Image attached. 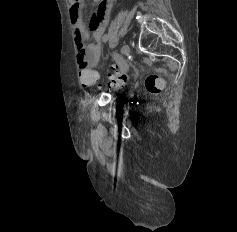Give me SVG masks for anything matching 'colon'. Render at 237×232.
Listing matches in <instances>:
<instances>
[{"instance_id": "colon-1", "label": "colon", "mask_w": 237, "mask_h": 232, "mask_svg": "<svg viewBox=\"0 0 237 232\" xmlns=\"http://www.w3.org/2000/svg\"><path fill=\"white\" fill-rule=\"evenodd\" d=\"M112 73L109 75V86H121L127 80L126 68L123 65H114ZM99 75L97 72L88 68L81 69L79 73L80 83L83 86H91L98 81ZM145 88L151 94H157L164 88V81L155 74L149 75L145 80Z\"/></svg>"}]
</instances>
